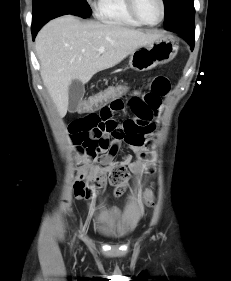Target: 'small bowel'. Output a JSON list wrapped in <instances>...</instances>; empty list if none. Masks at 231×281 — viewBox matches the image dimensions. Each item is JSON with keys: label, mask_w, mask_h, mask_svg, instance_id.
<instances>
[{"label": "small bowel", "mask_w": 231, "mask_h": 281, "mask_svg": "<svg viewBox=\"0 0 231 281\" xmlns=\"http://www.w3.org/2000/svg\"><path fill=\"white\" fill-rule=\"evenodd\" d=\"M169 91L170 84L165 76H150L140 87L132 86L126 96L100 108L98 113L89 112L76 118L68 127L76 151L81 155L86 153L89 162H97L107 171L116 166L128 167L133 173L150 171L151 167L143 163L144 134L154 131V119L159 114L162 98ZM126 107L130 108L133 116L118 123L115 115ZM122 141L132 148L139 160L133 161L132 155L127 153L120 161H115ZM84 175V163H81L77 179Z\"/></svg>", "instance_id": "1"}]
</instances>
